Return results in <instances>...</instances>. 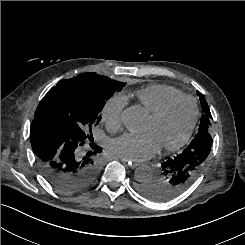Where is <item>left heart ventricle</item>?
<instances>
[{
  "label": "left heart ventricle",
  "mask_w": 245,
  "mask_h": 245,
  "mask_svg": "<svg viewBox=\"0 0 245 245\" xmlns=\"http://www.w3.org/2000/svg\"><path fill=\"white\" fill-rule=\"evenodd\" d=\"M194 113L191 101L183 100L173 105L161 118H146L143 133H149L159 147L178 142L186 133Z\"/></svg>",
  "instance_id": "b2bd125f"
}]
</instances>
